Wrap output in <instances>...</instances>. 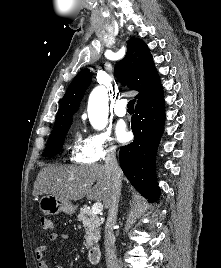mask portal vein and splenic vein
Returning <instances> with one entry per match:
<instances>
[{"mask_svg": "<svg viewBox=\"0 0 221 268\" xmlns=\"http://www.w3.org/2000/svg\"><path fill=\"white\" fill-rule=\"evenodd\" d=\"M102 210H103V205L100 202L94 203L93 206H92V209H91L92 214H95V215L101 213Z\"/></svg>", "mask_w": 221, "mask_h": 268, "instance_id": "18ae733b", "label": "portal vein and splenic vein"}]
</instances>
